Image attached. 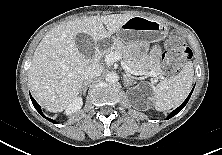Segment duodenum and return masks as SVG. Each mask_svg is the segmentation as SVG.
I'll use <instances>...</instances> for the list:
<instances>
[{"instance_id":"410a0bca","label":"duodenum","mask_w":222,"mask_h":155,"mask_svg":"<svg viewBox=\"0 0 222 155\" xmlns=\"http://www.w3.org/2000/svg\"><path fill=\"white\" fill-rule=\"evenodd\" d=\"M100 55H101V46H100V44H98L96 46V50H95V54H94V57H93V61L94 62H98V60L100 58Z\"/></svg>"}]
</instances>
